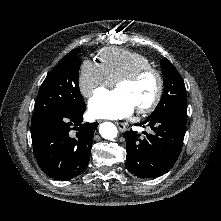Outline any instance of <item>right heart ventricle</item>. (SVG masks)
I'll list each match as a JSON object with an SVG mask.
<instances>
[{"label":"right heart ventricle","instance_id":"e07e8e85","mask_svg":"<svg viewBox=\"0 0 221 221\" xmlns=\"http://www.w3.org/2000/svg\"><path fill=\"white\" fill-rule=\"evenodd\" d=\"M98 60L114 81L137 68L152 65L150 59L145 55L119 47L102 49L98 54Z\"/></svg>","mask_w":221,"mask_h":221}]
</instances>
